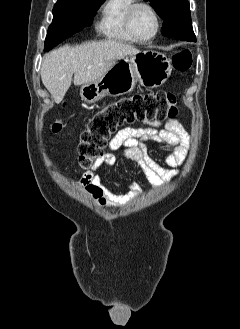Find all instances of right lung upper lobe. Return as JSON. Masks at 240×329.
Listing matches in <instances>:
<instances>
[{
  "label": "right lung upper lobe",
  "instance_id": "cb5924a9",
  "mask_svg": "<svg viewBox=\"0 0 240 329\" xmlns=\"http://www.w3.org/2000/svg\"><path fill=\"white\" fill-rule=\"evenodd\" d=\"M66 1H73V0H57V2H59V3L66 2Z\"/></svg>",
  "mask_w": 240,
  "mask_h": 329
}]
</instances>
